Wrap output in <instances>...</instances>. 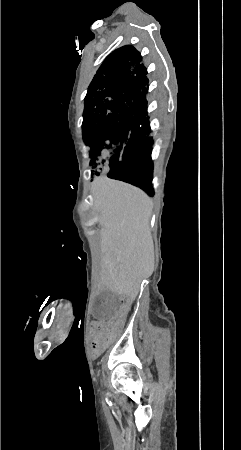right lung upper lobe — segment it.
I'll return each mask as SVG.
<instances>
[{
    "mask_svg": "<svg viewBox=\"0 0 241 450\" xmlns=\"http://www.w3.org/2000/svg\"><path fill=\"white\" fill-rule=\"evenodd\" d=\"M141 61L134 47L123 46L104 60L91 83L112 86L121 98L146 101L148 78Z\"/></svg>",
    "mask_w": 241,
    "mask_h": 450,
    "instance_id": "cb5924a9",
    "label": "right lung upper lobe"
}]
</instances>
